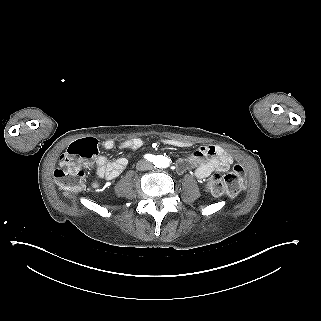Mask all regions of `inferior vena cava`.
<instances>
[{
    "label": "inferior vena cava",
    "instance_id": "obj_1",
    "mask_svg": "<svg viewBox=\"0 0 321 321\" xmlns=\"http://www.w3.org/2000/svg\"><path fill=\"white\" fill-rule=\"evenodd\" d=\"M143 161L144 160H141V161H139L137 163V165H136L137 170L140 171V172H143V171H146V170L150 171L151 168H152L151 163L148 162V161H145V162H143Z\"/></svg>",
    "mask_w": 321,
    "mask_h": 321
}]
</instances>
